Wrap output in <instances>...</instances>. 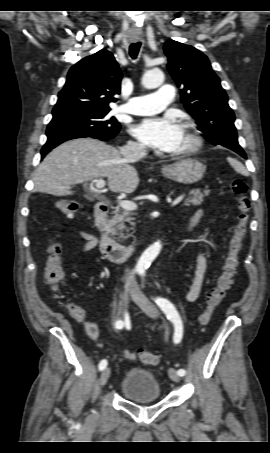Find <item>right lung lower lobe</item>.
Returning a JSON list of instances; mask_svg holds the SVG:
<instances>
[{
  "mask_svg": "<svg viewBox=\"0 0 270 453\" xmlns=\"http://www.w3.org/2000/svg\"><path fill=\"white\" fill-rule=\"evenodd\" d=\"M117 133L114 134H103L99 132H94V131H87V130H74V129H50L47 130L46 135L48 137V140L44 147L41 150V155L42 158L50 152L54 147L58 146L64 141L75 139V138H80V137H92V138H97L102 141H106L109 139L114 138Z\"/></svg>",
  "mask_w": 270,
  "mask_h": 453,
  "instance_id": "right-lung-lower-lobe-1",
  "label": "right lung lower lobe"
}]
</instances>
